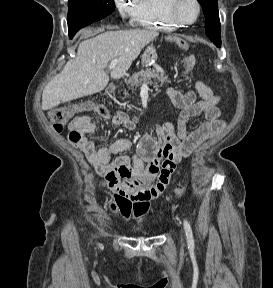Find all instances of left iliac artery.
<instances>
[{"instance_id":"obj_1","label":"left iliac artery","mask_w":273,"mask_h":288,"mask_svg":"<svg viewBox=\"0 0 273 288\" xmlns=\"http://www.w3.org/2000/svg\"><path fill=\"white\" fill-rule=\"evenodd\" d=\"M184 229L186 233L187 243L190 248L194 247V237L190 223L187 220H184Z\"/></svg>"}]
</instances>
